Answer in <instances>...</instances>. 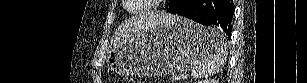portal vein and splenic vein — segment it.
Instances as JSON below:
<instances>
[{"mask_svg": "<svg viewBox=\"0 0 307 83\" xmlns=\"http://www.w3.org/2000/svg\"><path fill=\"white\" fill-rule=\"evenodd\" d=\"M173 79H174V80H180V79H181V75H179V74H178V75H175V76L173 77Z\"/></svg>", "mask_w": 307, "mask_h": 83, "instance_id": "18ae733b", "label": "portal vein and splenic vein"}]
</instances>
